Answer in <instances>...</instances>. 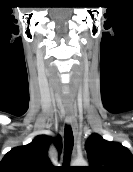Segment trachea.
<instances>
[{
	"instance_id": "obj_1",
	"label": "trachea",
	"mask_w": 133,
	"mask_h": 172,
	"mask_svg": "<svg viewBox=\"0 0 133 172\" xmlns=\"http://www.w3.org/2000/svg\"><path fill=\"white\" fill-rule=\"evenodd\" d=\"M64 143H65L64 163L68 164L70 161L74 138H73V133H72L71 127L67 126V125L65 126V131H64Z\"/></svg>"
}]
</instances>
